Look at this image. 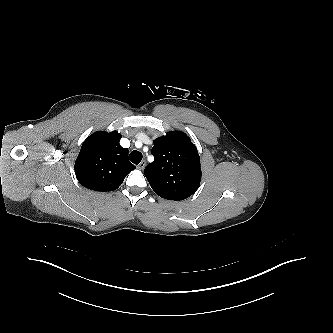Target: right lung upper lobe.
I'll return each instance as SVG.
<instances>
[{"label":"right lung upper lobe","mask_w":333,"mask_h":333,"mask_svg":"<svg viewBox=\"0 0 333 333\" xmlns=\"http://www.w3.org/2000/svg\"><path fill=\"white\" fill-rule=\"evenodd\" d=\"M121 137L117 131H98L83 142L75 174L84 187L101 192L116 190L135 169L128 160V149L119 144Z\"/></svg>","instance_id":"right-lung-upper-lobe-1"}]
</instances>
